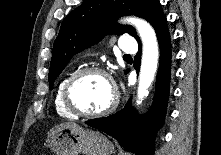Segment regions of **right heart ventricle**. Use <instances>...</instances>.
<instances>
[{"label":"right heart ventricle","mask_w":221,"mask_h":155,"mask_svg":"<svg viewBox=\"0 0 221 155\" xmlns=\"http://www.w3.org/2000/svg\"><path fill=\"white\" fill-rule=\"evenodd\" d=\"M70 76L71 74H67L58 83L56 91H55L54 105H55V109L58 115L65 117V118H76L74 114H72L70 111L66 109L62 101L63 88H64L66 81L68 80Z\"/></svg>","instance_id":"1"}]
</instances>
